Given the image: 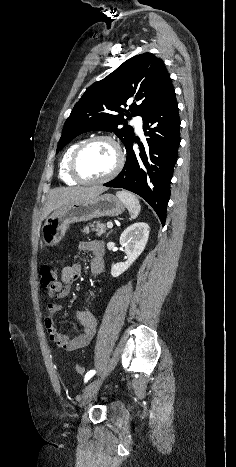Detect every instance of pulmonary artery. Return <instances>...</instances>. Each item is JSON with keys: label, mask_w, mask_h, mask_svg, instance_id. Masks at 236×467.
Masks as SVG:
<instances>
[{"label": "pulmonary artery", "mask_w": 236, "mask_h": 467, "mask_svg": "<svg viewBox=\"0 0 236 467\" xmlns=\"http://www.w3.org/2000/svg\"><path fill=\"white\" fill-rule=\"evenodd\" d=\"M133 124L135 126V129L137 132L141 133L142 132V117L141 116H136L133 119Z\"/></svg>", "instance_id": "1"}]
</instances>
